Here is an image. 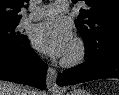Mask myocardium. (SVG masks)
<instances>
[{
    "instance_id": "f54148a6",
    "label": "myocardium",
    "mask_w": 119,
    "mask_h": 95,
    "mask_svg": "<svg viewBox=\"0 0 119 95\" xmlns=\"http://www.w3.org/2000/svg\"><path fill=\"white\" fill-rule=\"evenodd\" d=\"M87 48L85 42L81 38H75L72 45V50L62 59V65L73 67L81 64L86 57Z\"/></svg>"
}]
</instances>
